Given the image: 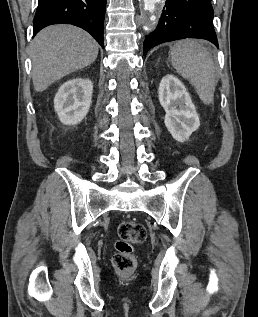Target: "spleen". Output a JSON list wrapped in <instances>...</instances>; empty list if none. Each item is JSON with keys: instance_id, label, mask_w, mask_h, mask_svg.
<instances>
[{"instance_id": "obj_1", "label": "spleen", "mask_w": 258, "mask_h": 317, "mask_svg": "<svg viewBox=\"0 0 258 317\" xmlns=\"http://www.w3.org/2000/svg\"><path fill=\"white\" fill-rule=\"evenodd\" d=\"M172 66L195 86L202 102H213L217 76L211 54L198 40H179L171 48Z\"/></svg>"}]
</instances>
